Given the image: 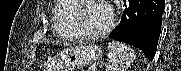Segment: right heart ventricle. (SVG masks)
<instances>
[{
    "instance_id": "e07e8e85",
    "label": "right heart ventricle",
    "mask_w": 181,
    "mask_h": 71,
    "mask_svg": "<svg viewBox=\"0 0 181 71\" xmlns=\"http://www.w3.org/2000/svg\"><path fill=\"white\" fill-rule=\"evenodd\" d=\"M72 5L63 0H57L53 9V30L61 38H77L70 25Z\"/></svg>"
}]
</instances>
